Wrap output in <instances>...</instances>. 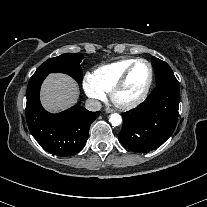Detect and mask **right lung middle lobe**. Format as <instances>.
Segmentation results:
<instances>
[{
	"label": "right lung middle lobe",
	"mask_w": 207,
	"mask_h": 207,
	"mask_svg": "<svg viewBox=\"0 0 207 207\" xmlns=\"http://www.w3.org/2000/svg\"><path fill=\"white\" fill-rule=\"evenodd\" d=\"M82 59L83 56L79 53H66L50 58L38 67L33 76L61 72L71 76L77 82H81L83 73L79 64Z\"/></svg>",
	"instance_id": "obj_1"
}]
</instances>
